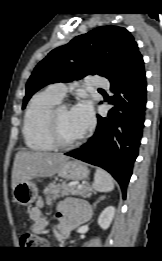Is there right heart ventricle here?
I'll return each instance as SVG.
<instances>
[{"label":"right heart ventricle","instance_id":"right-heart-ventricle-1","mask_svg":"<svg viewBox=\"0 0 162 261\" xmlns=\"http://www.w3.org/2000/svg\"><path fill=\"white\" fill-rule=\"evenodd\" d=\"M61 98L48 89L36 93L30 100L23 120V136L26 146L34 151L54 149L47 130V118Z\"/></svg>","mask_w":162,"mask_h":261}]
</instances>
